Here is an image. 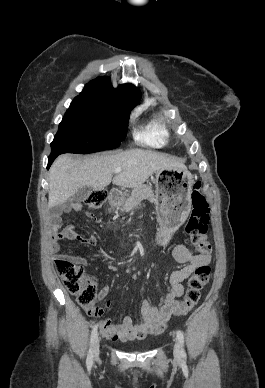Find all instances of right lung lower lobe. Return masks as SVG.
<instances>
[{
    "mask_svg": "<svg viewBox=\"0 0 265 388\" xmlns=\"http://www.w3.org/2000/svg\"><path fill=\"white\" fill-rule=\"evenodd\" d=\"M57 156H58L57 154H51V155L49 156L47 169H49L50 165L52 164V162L54 161V159H55Z\"/></svg>",
    "mask_w": 265,
    "mask_h": 388,
    "instance_id": "98d812e1",
    "label": "right lung lower lobe"
}]
</instances>
